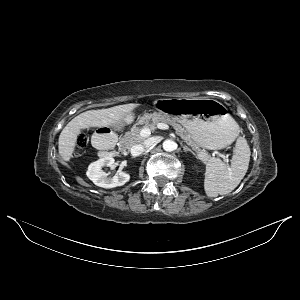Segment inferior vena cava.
Listing matches in <instances>:
<instances>
[{
	"label": "inferior vena cava",
	"instance_id": "602c4592",
	"mask_svg": "<svg viewBox=\"0 0 300 300\" xmlns=\"http://www.w3.org/2000/svg\"><path fill=\"white\" fill-rule=\"evenodd\" d=\"M148 143H140L136 144L131 148V154L134 157L142 155L148 148H149Z\"/></svg>",
	"mask_w": 300,
	"mask_h": 300
}]
</instances>
